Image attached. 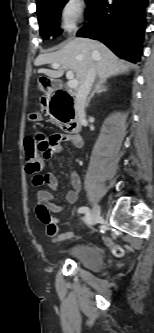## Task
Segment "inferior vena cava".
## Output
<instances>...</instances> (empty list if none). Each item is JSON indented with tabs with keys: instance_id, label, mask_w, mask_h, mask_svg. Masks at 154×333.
Returning a JSON list of instances; mask_svg holds the SVG:
<instances>
[{
	"instance_id": "1",
	"label": "inferior vena cava",
	"mask_w": 154,
	"mask_h": 333,
	"mask_svg": "<svg viewBox=\"0 0 154 333\" xmlns=\"http://www.w3.org/2000/svg\"><path fill=\"white\" fill-rule=\"evenodd\" d=\"M96 76L95 66H91L88 69L87 75L83 83L79 86L75 98V109L81 120L85 119V105L87 96L91 90L92 84L94 83Z\"/></svg>"
}]
</instances>
